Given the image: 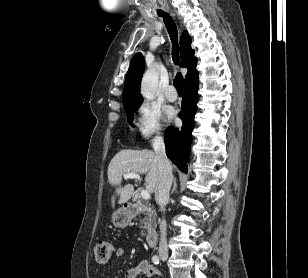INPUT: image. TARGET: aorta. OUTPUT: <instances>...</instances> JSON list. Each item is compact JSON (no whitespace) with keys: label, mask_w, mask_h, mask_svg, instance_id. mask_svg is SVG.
<instances>
[{"label":"aorta","mask_w":308,"mask_h":278,"mask_svg":"<svg viewBox=\"0 0 308 278\" xmlns=\"http://www.w3.org/2000/svg\"><path fill=\"white\" fill-rule=\"evenodd\" d=\"M158 84V74L154 69L147 70L141 82V95L147 100H153Z\"/></svg>","instance_id":"762f6f07"}]
</instances>
